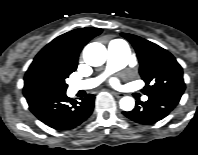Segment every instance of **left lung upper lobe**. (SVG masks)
<instances>
[{
    "label": "left lung upper lobe",
    "mask_w": 198,
    "mask_h": 155,
    "mask_svg": "<svg viewBox=\"0 0 198 155\" xmlns=\"http://www.w3.org/2000/svg\"><path fill=\"white\" fill-rule=\"evenodd\" d=\"M135 48L147 96L181 97L185 90L182 67L167 50L139 36L121 33Z\"/></svg>",
    "instance_id": "left-lung-upper-lobe-1"
}]
</instances>
